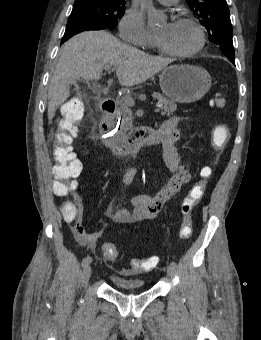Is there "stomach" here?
Wrapping results in <instances>:
<instances>
[{"label": "stomach", "instance_id": "obj_1", "mask_svg": "<svg viewBox=\"0 0 261 340\" xmlns=\"http://www.w3.org/2000/svg\"><path fill=\"white\" fill-rule=\"evenodd\" d=\"M162 92L172 101L193 103L204 97L211 88L209 73L193 65L165 67L159 75Z\"/></svg>", "mask_w": 261, "mask_h": 340}]
</instances>
